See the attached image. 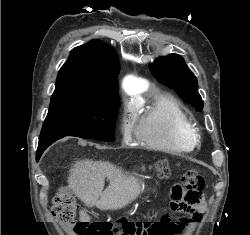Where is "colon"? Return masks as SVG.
Segmentation results:
<instances>
[{
    "label": "colon",
    "instance_id": "colon-1",
    "mask_svg": "<svg viewBox=\"0 0 250 235\" xmlns=\"http://www.w3.org/2000/svg\"><path fill=\"white\" fill-rule=\"evenodd\" d=\"M155 172L159 177L165 178L171 174V167L166 161H158L155 164ZM206 186V178L201 172L194 168L185 170L181 184L171 189L174 210H183V204H199ZM52 213L72 228L77 235H128L131 231L138 232L140 235H165L164 227L159 221L137 227L126 219L119 221L120 223L77 220L75 200L66 188H61L56 194Z\"/></svg>",
    "mask_w": 250,
    "mask_h": 235
}]
</instances>
